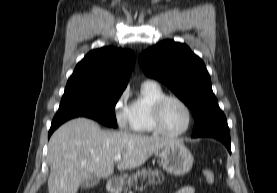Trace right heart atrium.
Here are the masks:
<instances>
[{"label": "right heart atrium", "instance_id": "obj_1", "mask_svg": "<svg viewBox=\"0 0 277 193\" xmlns=\"http://www.w3.org/2000/svg\"><path fill=\"white\" fill-rule=\"evenodd\" d=\"M126 99L127 91H123L117 98L113 108L114 119L120 129H127L130 125V114Z\"/></svg>", "mask_w": 277, "mask_h": 193}]
</instances>
